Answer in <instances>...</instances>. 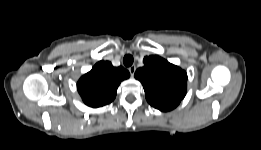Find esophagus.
Wrapping results in <instances>:
<instances>
[{"label": "esophagus", "instance_id": "1", "mask_svg": "<svg viewBox=\"0 0 261 150\" xmlns=\"http://www.w3.org/2000/svg\"><path fill=\"white\" fill-rule=\"evenodd\" d=\"M128 70H129L130 75L133 76L136 71L135 65L130 66Z\"/></svg>", "mask_w": 261, "mask_h": 150}]
</instances>
